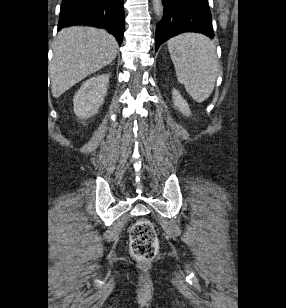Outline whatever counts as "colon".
Returning <instances> with one entry per match:
<instances>
[{
    "instance_id": "1",
    "label": "colon",
    "mask_w": 286,
    "mask_h": 308,
    "mask_svg": "<svg viewBox=\"0 0 286 308\" xmlns=\"http://www.w3.org/2000/svg\"><path fill=\"white\" fill-rule=\"evenodd\" d=\"M129 242L133 257L142 261L152 260L159 249V240L155 228L147 219H139L132 226Z\"/></svg>"
}]
</instances>
